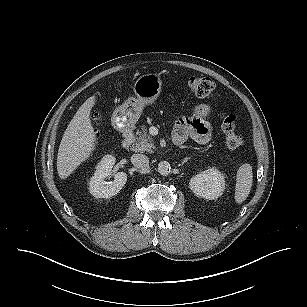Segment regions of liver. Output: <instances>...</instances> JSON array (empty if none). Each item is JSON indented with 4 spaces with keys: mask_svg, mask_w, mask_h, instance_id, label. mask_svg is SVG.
I'll return each instance as SVG.
<instances>
[{
    "mask_svg": "<svg viewBox=\"0 0 307 307\" xmlns=\"http://www.w3.org/2000/svg\"><path fill=\"white\" fill-rule=\"evenodd\" d=\"M96 97H89L78 109L62 137L58 155L57 171L66 179L95 149L96 135L90 120V112Z\"/></svg>",
    "mask_w": 307,
    "mask_h": 307,
    "instance_id": "1",
    "label": "liver"
}]
</instances>
